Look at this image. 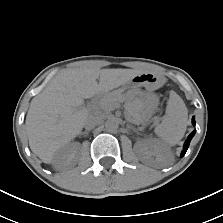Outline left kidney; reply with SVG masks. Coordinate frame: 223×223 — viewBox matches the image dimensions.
I'll return each mask as SVG.
<instances>
[{"label": "left kidney", "instance_id": "1", "mask_svg": "<svg viewBox=\"0 0 223 223\" xmlns=\"http://www.w3.org/2000/svg\"><path fill=\"white\" fill-rule=\"evenodd\" d=\"M140 160L148 165L165 167L172 164L173 155L168 146L156 140H144L136 144Z\"/></svg>", "mask_w": 223, "mask_h": 223}]
</instances>
